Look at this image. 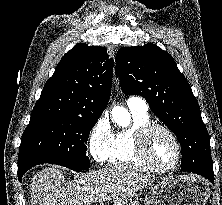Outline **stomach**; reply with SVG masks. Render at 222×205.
<instances>
[{
	"instance_id": "stomach-1",
	"label": "stomach",
	"mask_w": 222,
	"mask_h": 205,
	"mask_svg": "<svg viewBox=\"0 0 222 205\" xmlns=\"http://www.w3.org/2000/svg\"><path fill=\"white\" fill-rule=\"evenodd\" d=\"M144 205H206L209 197L207 184L192 176L165 178L149 188ZM136 194L122 199L124 205H137Z\"/></svg>"
}]
</instances>
